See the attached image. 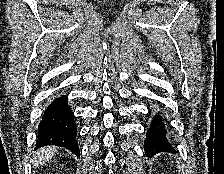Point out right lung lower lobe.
<instances>
[{
  "label": "right lung lower lobe",
  "mask_w": 224,
  "mask_h": 174,
  "mask_svg": "<svg viewBox=\"0 0 224 174\" xmlns=\"http://www.w3.org/2000/svg\"><path fill=\"white\" fill-rule=\"evenodd\" d=\"M67 96L55 98L46 108L38 128L36 148L47 145L65 147L79 156L77 127Z\"/></svg>",
  "instance_id": "right-lung-lower-lobe-1"
}]
</instances>
